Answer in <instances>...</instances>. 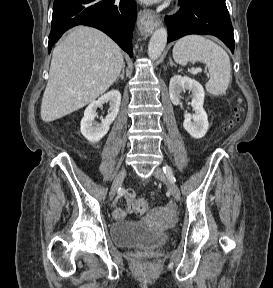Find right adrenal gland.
Returning a JSON list of instances; mask_svg holds the SVG:
<instances>
[{"label":"right adrenal gland","instance_id":"right-adrenal-gland-1","mask_svg":"<svg viewBox=\"0 0 273 288\" xmlns=\"http://www.w3.org/2000/svg\"><path fill=\"white\" fill-rule=\"evenodd\" d=\"M124 75H125V64L122 67V72L121 74L117 77V79L115 80V82H117L119 80V78H121L122 80H124Z\"/></svg>","mask_w":273,"mask_h":288}]
</instances>
